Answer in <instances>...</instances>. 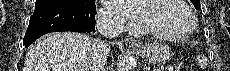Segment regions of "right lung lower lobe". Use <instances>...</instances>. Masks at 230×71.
Segmentation results:
<instances>
[{"mask_svg":"<svg viewBox=\"0 0 230 71\" xmlns=\"http://www.w3.org/2000/svg\"><path fill=\"white\" fill-rule=\"evenodd\" d=\"M95 9L73 4H41L35 6L23 39L28 47L40 36L50 32H92L95 29Z\"/></svg>","mask_w":230,"mask_h":71,"instance_id":"right-lung-lower-lobe-1","label":"right lung lower lobe"}]
</instances>
